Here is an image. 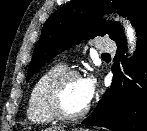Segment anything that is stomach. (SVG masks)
I'll return each mask as SVG.
<instances>
[{"instance_id":"obj_1","label":"stomach","mask_w":147,"mask_h":131,"mask_svg":"<svg viewBox=\"0 0 147 131\" xmlns=\"http://www.w3.org/2000/svg\"><path fill=\"white\" fill-rule=\"evenodd\" d=\"M57 131H65L64 129H59ZM71 131H90L89 129L84 128H73Z\"/></svg>"}]
</instances>
